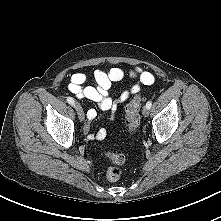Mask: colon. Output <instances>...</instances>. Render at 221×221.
Segmentation results:
<instances>
[{
    "instance_id": "colon-1",
    "label": "colon",
    "mask_w": 221,
    "mask_h": 221,
    "mask_svg": "<svg viewBox=\"0 0 221 221\" xmlns=\"http://www.w3.org/2000/svg\"><path fill=\"white\" fill-rule=\"evenodd\" d=\"M144 101L143 96L134 97L126 106L125 123L129 134H134L140 124V109ZM105 158L111 162V166L106 171V177L110 181H116L121 176V166L125 162V157L119 153L104 152Z\"/></svg>"
}]
</instances>
